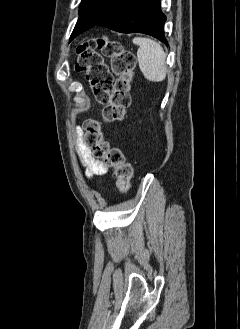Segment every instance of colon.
I'll return each mask as SVG.
<instances>
[{"label": "colon", "mask_w": 240, "mask_h": 329, "mask_svg": "<svg viewBox=\"0 0 240 329\" xmlns=\"http://www.w3.org/2000/svg\"><path fill=\"white\" fill-rule=\"evenodd\" d=\"M104 57L111 58V70ZM136 59L134 53L108 37L92 38L76 49L75 68L85 73L97 101L104 105L102 121L123 119L131 103V86ZM115 76V78H114ZM84 143L95 158L114 169L117 187L126 192L131 186L133 168L119 148L104 139L102 122L89 119L84 123Z\"/></svg>", "instance_id": "5ec220e1"}]
</instances>
